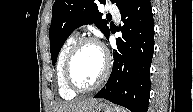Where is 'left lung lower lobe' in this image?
<instances>
[{
	"label": "left lung lower lobe",
	"mask_w": 193,
	"mask_h": 112,
	"mask_svg": "<svg viewBox=\"0 0 193 112\" xmlns=\"http://www.w3.org/2000/svg\"><path fill=\"white\" fill-rule=\"evenodd\" d=\"M120 13L123 26L119 30L123 34L116 39L113 69L106 86L94 97L104 98L132 112H147L154 51L150 0H130Z\"/></svg>",
	"instance_id": "1"
}]
</instances>
